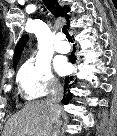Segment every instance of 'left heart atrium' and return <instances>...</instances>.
<instances>
[{"label": "left heart atrium", "instance_id": "39dd6f15", "mask_svg": "<svg viewBox=\"0 0 117 136\" xmlns=\"http://www.w3.org/2000/svg\"><path fill=\"white\" fill-rule=\"evenodd\" d=\"M56 69L60 74H65L68 70L66 62L60 61L56 64Z\"/></svg>", "mask_w": 117, "mask_h": 136}]
</instances>
